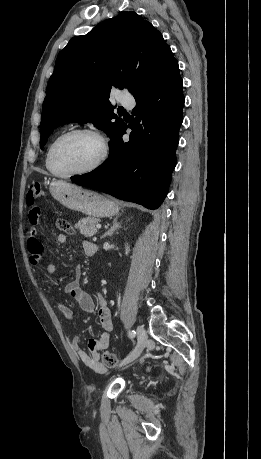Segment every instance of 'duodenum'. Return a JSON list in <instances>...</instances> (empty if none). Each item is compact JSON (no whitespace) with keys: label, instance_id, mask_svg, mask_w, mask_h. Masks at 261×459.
<instances>
[{"label":"duodenum","instance_id":"obj_1","mask_svg":"<svg viewBox=\"0 0 261 459\" xmlns=\"http://www.w3.org/2000/svg\"><path fill=\"white\" fill-rule=\"evenodd\" d=\"M96 250H97V247L94 245V247H93L94 253L96 252Z\"/></svg>","mask_w":261,"mask_h":459}]
</instances>
